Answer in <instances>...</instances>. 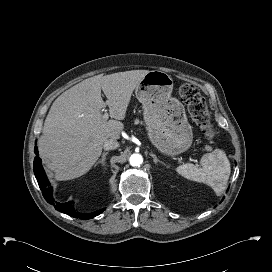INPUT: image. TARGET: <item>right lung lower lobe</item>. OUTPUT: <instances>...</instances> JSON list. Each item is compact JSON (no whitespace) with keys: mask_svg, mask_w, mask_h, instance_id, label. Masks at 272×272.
<instances>
[{"mask_svg":"<svg viewBox=\"0 0 272 272\" xmlns=\"http://www.w3.org/2000/svg\"><path fill=\"white\" fill-rule=\"evenodd\" d=\"M34 152L36 154V157L34 159V174L39 184V187L42 190V194L48 203L53 204L55 208L59 210L60 212L66 213L69 216L80 218V219H90L99 215L101 212L104 211V209H101L99 211L88 213V214L80 213L75 210L73 206V202H68V203L55 202L52 196V192H53L52 187L50 186V183L41 165V159L38 156L37 147L34 148Z\"/></svg>","mask_w":272,"mask_h":272,"instance_id":"98d812e1","label":"right lung lower lobe"}]
</instances>
